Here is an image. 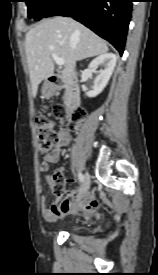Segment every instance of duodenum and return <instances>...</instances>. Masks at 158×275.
Here are the masks:
<instances>
[{
	"mask_svg": "<svg viewBox=\"0 0 158 275\" xmlns=\"http://www.w3.org/2000/svg\"><path fill=\"white\" fill-rule=\"evenodd\" d=\"M50 86L46 88L48 94H54L55 90L64 88L66 95V107L69 112H75L80 106V89L76 81L66 80L61 74H53L49 77Z\"/></svg>",
	"mask_w": 158,
	"mask_h": 275,
	"instance_id": "410a0bca",
	"label": "duodenum"
}]
</instances>
